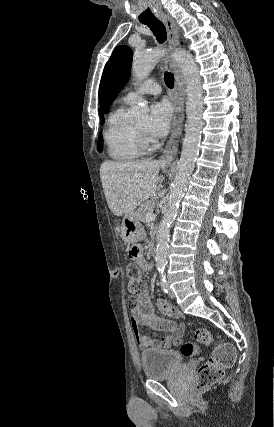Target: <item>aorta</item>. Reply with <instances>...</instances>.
<instances>
[{
    "mask_svg": "<svg viewBox=\"0 0 274 427\" xmlns=\"http://www.w3.org/2000/svg\"><path fill=\"white\" fill-rule=\"evenodd\" d=\"M164 55L165 51L160 49L137 54L132 65L134 80L136 82L143 81ZM173 58L182 71L186 85V124L175 180L170 190L166 212L156 234V266L161 278H165L164 270L168 263L170 226L176 218L180 200L186 191L188 180L195 167L203 126L202 86L198 67L190 53L185 50H176L173 53ZM147 114L148 108L142 104H137L132 109V116L137 120L147 117Z\"/></svg>",
    "mask_w": 274,
    "mask_h": 427,
    "instance_id": "762f6f07",
    "label": "aorta"
}]
</instances>
